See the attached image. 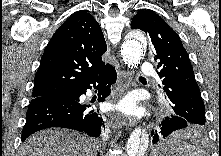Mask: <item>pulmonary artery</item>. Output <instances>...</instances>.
I'll return each instance as SVG.
<instances>
[{
	"instance_id": "e3ab8cb5",
	"label": "pulmonary artery",
	"mask_w": 221,
	"mask_h": 156,
	"mask_svg": "<svg viewBox=\"0 0 221 156\" xmlns=\"http://www.w3.org/2000/svg\"><path fill=\"white\" fill-rule=\"evenodd\" d=\"M141 72L143 75H151L154 73L153 66L150 63L145 62L142 64Z\"/></svg>"
}]
</instances>
